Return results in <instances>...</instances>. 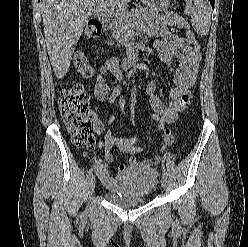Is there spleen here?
Listing matches in <instances>:
<instances>
[{
	"mask_svg": "<svg viewBox=\"0 0 248 247\" xmlns=\"http://www.w3.org/2000/svg\"><path fill=\"white\" fill-rule=\"evenodd\" d=\"M185 14L191 17L195 32L201 36L208 34L211 24L210 7L205 0H185Z\"/></svg>",
	"mask_w": 248,
	"mask_h": 247,
	"instance_id": "obj_1",
	"label": "spleen"
}]
</instances>
